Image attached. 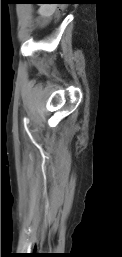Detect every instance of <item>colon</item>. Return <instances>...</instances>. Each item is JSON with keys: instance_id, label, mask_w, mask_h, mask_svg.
I'll return each mask as SVG.
<instances>
[{"instance_id": "colon-1", "label": "colon", "mask_w": 122, "mask_h": 257, "mask_svg": "<svg viewBox=\"0 0 122 257\" xmlns=\"http://www.w3.org/2000/svg\"><path fill=\"white\" fill-rule=\"evenodd\" d=\"M69 4L67 2H58V7L59 8H55V16L54 17V21H51V27L50 30L51 31H56L58 26V22H61V16H64L65 14V10L67 9V6Z\"/></svg>"}]
</instances>
